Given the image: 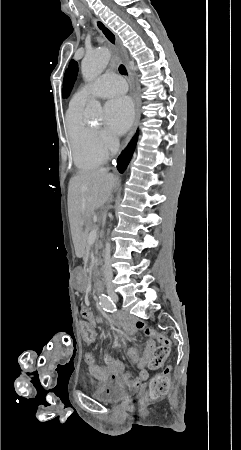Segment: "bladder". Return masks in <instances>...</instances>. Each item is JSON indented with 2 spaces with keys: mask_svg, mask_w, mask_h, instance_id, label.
I'll return each instance as SVG.
<instances>
[{
  "mask_svg": "<svg viewBox=\"0 0 241 450\" xmlns=\"http://www.w3.org/2000/svg\"><path fill=\"white\" fill-rule=\"evenodd\" d=\"M97 399L106 402L121 400L126 395V388L118 383H108L94 391Z\"/></svg>",
  "mask_w": 241,
  "mask_h": 450,
  "instance_id": "bladder-1",
  "label": "bladder"
}]
</instances>
